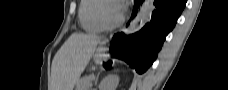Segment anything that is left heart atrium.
Wrapping results in <instances>:
<instances>
[{
  "label": "left heart atrium",
  "instance_id": "1",
  "mask_svg": "<svg viewBox=\"0 0 228 90\" xmlns=\"http://www.w3.org/2000/svg\"><path fill=\"white\" fill-rule=\"evenodd\" d=\"M117 7H118V9H119V11H120V13H121V12H122V7L119 6V5H117Z\"/></svg>",
  "mask_w": 228,
  "mask_h": 90
}]
</instances>
